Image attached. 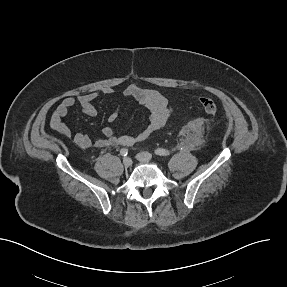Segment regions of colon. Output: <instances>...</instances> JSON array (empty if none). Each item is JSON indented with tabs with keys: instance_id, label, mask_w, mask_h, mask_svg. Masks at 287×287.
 Returning <instances> with one entry per match:
<instances>
[{
	"instance_id": "5ec220e1",
	"label": "colon",
	"mask_w": 287,
	"mask_h": 287,
	"mask_svg": "<svg viewBox=\"0 0 287 287\" xmlns=\"http://www.w3.org/2000/svg\"><path fill=\"white\" fill-rule=\"evenodd\" d=\"M200 105L203 109V111L208 114V115H215L217 112V106L215 104V102L213 100H211L210 98H200L199 100Z\"/></svg>"
}]
</instances>
